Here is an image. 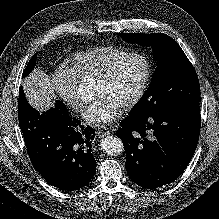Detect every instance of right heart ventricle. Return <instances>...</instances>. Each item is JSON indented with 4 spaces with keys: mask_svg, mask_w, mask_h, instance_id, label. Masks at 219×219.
Returning a JSON list of instances; mask_svg holds the SVG:
<instances>
[{
    "mask_svg": "<svg viewBox=\"0 0 219 219\" xmlns=\"http://www.w3.org/2000/svg\"><path fill=\"white\" fill-rule=\"evenodd\" d=\"M129 51L118 46H98L74 54L71 70L81 77L98 78L114 61Z\"/></svg>",
    "mask_w": 219,
    "mask_h": 219,
    "instance_id": "obj_1",
    "label": "right heart ventricle"
}]
</instances>
